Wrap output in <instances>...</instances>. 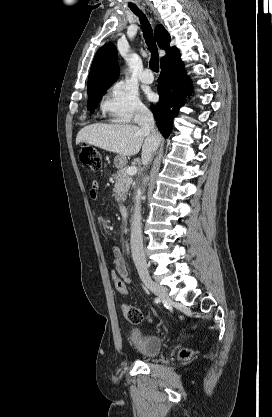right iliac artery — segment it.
I'll return each instance as SVG.
<instances>
[{"label":"right iliac artery","instance_id":"obj_1","mask_svg":"<svg viewBox=\"0 0 272 417\" xmlns=\"http://www.w3.org/2000/svg\"><path fill=\"white\" fill-rule=\"evenodd\" d=\"M154 301H155L156 303H159V302H160V299H159V298H155V299H154Z\"/></svg>","mask_w":272,"mask_h":417}]
</instances>
